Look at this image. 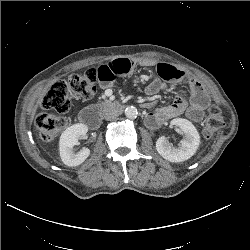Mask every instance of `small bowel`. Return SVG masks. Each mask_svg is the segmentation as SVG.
<instances>
[{
  "instance_id": "c3829d8e",
  "label": "small bowel",
  "mask_w": 250,
  "mask_h": 250,
  "mask_svg": "<svg viewBox=\"0 0 250 250\" xmlns=\"http://www.w3.org/2000/svg\"><path fill=\"white\" fill-rule=\"evenodd\" d=\"M135 66V62L126 58L111 60L97 69L98 81L103 88H108L117 76L130 74ZM156 69L162 81L157 78L148 84L145 88L146 95L153 96L160 91L167 90L171 83H185L189 100L187 101L180 95L172 104L154 108L147 116V123L150 126H160L183 114L193 121H200L209 102L202 85L185 71L171 65L159 63Z\"/></svg>"
}]
</instances>
